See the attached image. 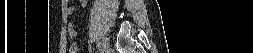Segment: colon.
Segmentation results:
<instances>
[{"mask_svg":"<svg viewBox=\"0 0 253 53\" xmlns=\"http://www.w3.org/2000/svg\"><path fill=\"white\" fill-rule=\"evenodd\" d=\"M77 52H78L77 45L75 43H72L70 46V53H77Z\"/></svg>","mask_w":253,"mask_h":53,"instance_id":"obj_1","label":"colon"}]
</instances>
